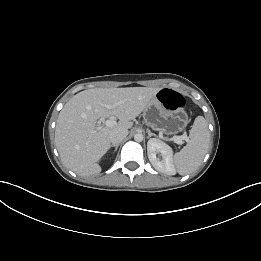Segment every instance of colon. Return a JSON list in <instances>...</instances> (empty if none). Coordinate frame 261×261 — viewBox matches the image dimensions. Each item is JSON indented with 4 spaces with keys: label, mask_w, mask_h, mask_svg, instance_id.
<instances>
[{
    "label": "colon",
    "mask_w": 261,
    "mask_h": 261,
    "mask_svg": "<svg viewBox=\"0 0 261 261\" xmlns=\"http://www.w3.org/2000/svg\"><path fill=\"white\" fill-rule=\"evenodd\" d=\"M159 101L168 110H176L184 106L183 97L172 89H163L158 94Z\"/></svg>",
    "instance_id": "obj_1"
}]
</instances>
